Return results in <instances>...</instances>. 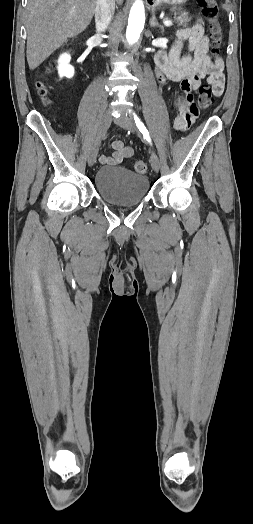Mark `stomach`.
<instances>
[{"instance_id": "1", "label": "stomach", "mask_w": 253, "mask_h": 524, "mask_svg": "<svg viewBox=\"0 0 253 524\" xmlns=\"http://www.w3.org/2000/svg\"><path fill=\"white\" fill-rule=\"evenodd\" d=\"M187 0H150L152 7L161 5V4H171L179 5L185 3Z\"/></svg>"}]
</instances>
